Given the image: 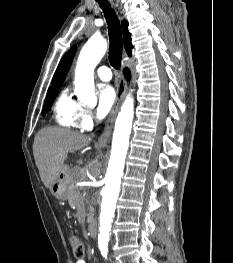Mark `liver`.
Instances as JSON below:
<instances>
[{
  "label": "liver",
  "mask_w": 233,
  "mask_h": 263,
  "mask_svg": "<svg viewBox=\"0 0 233 263\" xmlns=\"http://www.w3.org/2000/svg\"><path fill=\"white\" fill-rule=\"evenodd\" d=\"M89 136L63 128H44L34 139L33 154L41 180L46 188L51 186L61 173L68 153H73L90 144Z\"/></svg>",
  "instance_id": "6515ba94"
}]
</instances>
